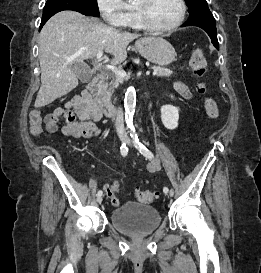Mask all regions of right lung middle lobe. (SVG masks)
Instances as JSON below:
<instances>
[{
  "instance_id": "obj_1",
  "label": "right lung middle lobe",
  "mask_w": 261,
  "mask_h": 273,
  "mask_svg": "<svg viewBox=\"0 0 261 273\" xmlns=\"http://www.w3.org/2000/svg\"><path fill=\"white\" fill-rule=\"evenodd\" d=\"M86 8L93 14L99 16L97 0H80ZM76 0H48L43 9V16H53L55 13L62 10H70L72 3Z\"/></svg>"
}]
</instances>
